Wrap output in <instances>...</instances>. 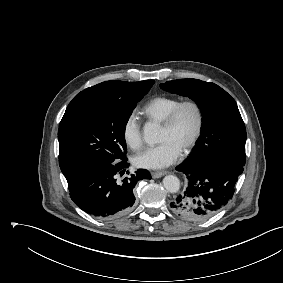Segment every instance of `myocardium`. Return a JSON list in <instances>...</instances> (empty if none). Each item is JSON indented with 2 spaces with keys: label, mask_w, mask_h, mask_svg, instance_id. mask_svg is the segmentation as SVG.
<instances>
[{
  "label": "myocardium",
  "mask_w": 283,
  "mask_h": 283,
  "mask_svg": "<svg viewBox=\"0 0 283 283\" xmlns=\"http://www.w3.org/2000/svg\"><path fill=\"white\" fill-rule=\"evenodd\" d=\"M190 107L193 109L196 117L195 128L189 141L185 144L182 152L190 151L198 142L204 125V112L200 103L194 99H187L180 101L169 113L166 120L162 123V128L165 130H171L175 127L180 113L183 109Z\"/></svg>",
  "instance_id": "myocardium-1"
}]
</instances>
